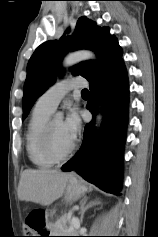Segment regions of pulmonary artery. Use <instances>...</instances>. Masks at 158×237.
<instances>
[{"label": "pulmonary artery", "mask_w": 158, "mask_h": 237, "mask_svg": "<svg viewBox=\"0 0 158 237\" xmlns=\"http://www.w3.org/2000/svg\"><path fill=\"white\" fill-rule=\"evenodd\" d=\"M86 86L87 83L82 77L63 79L55 83L44 94H42L37 100L36 105L53 112L70 90L80 89Z\"/></svg>", "instance_id": "1"}]
</instances>
